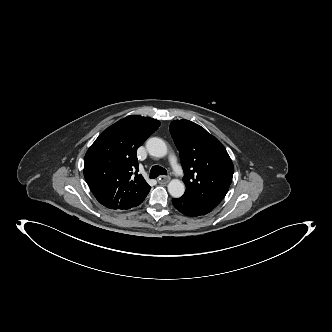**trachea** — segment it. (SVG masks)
I'll return each instance as SVG.
<instances>
[{"label": "trachea", "mask_w": 332, "mask_h": 332, "mask_svg": "<svg viewBox=\"0 0 332 332\" xmlns=\"http://www.w3.org/2000/svg\"><path fill=\"white\" fill-rule=\"evenodd\" d=\"M159 175H167L166 169L161 166H153L150 170V178H157Z\"/></svg>", "instance_id": "trachea-1"}]
</instances>
